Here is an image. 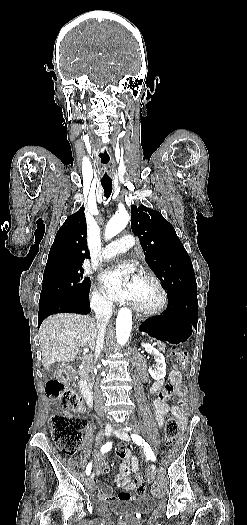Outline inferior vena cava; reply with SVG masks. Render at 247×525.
I'll use <instances>...</instances> for the list:
<instances>
[{
  "instance_id": "obj_1",
  "label": "inferior vena cava",
  "mask_w": 247,
  "mask_h": 525,
  "mask_svg": "<svg viewBox=\"0 0 247 525\" xmlns=\"http://www.w3.org/2000/svg\"><path fill=\"white\" fill-rule=\"evenodd\" d=\"M112 303H107V301H98L93 307L95 313L96 325H97V335L95 337V355L98 359L101 355V351L104 347V335L106 325H108L112 317Z\"/></svg>"
}]
</instances>
